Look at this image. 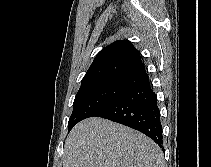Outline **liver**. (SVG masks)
<instances>
[{
  "label": "liver",
  "instance_id": "liver-1",
  "mask_svg": "<svg viewBox=\"0 0 211 167\" xmlns=\"http://www.w3.org/2000/svg\"><path fill=\"white\" fill-rule=\"evenodd\" d=\"M63 167H165V163L162 150L144 134L93 117L69 133Z\"/></svg>",
  "mask_w": 211,
  "mask_h": 167
}]
</instances>
